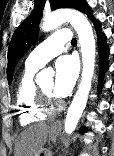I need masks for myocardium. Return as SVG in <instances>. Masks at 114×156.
Instances as JSON below:
<instances>
[{
  "instance_id": "f54148a6",
  "label": "myocardium",
  "mask_w": 114,
  "mask_h": 156,
  "mask_svg": "<svg viewBox=\"0 0 114 156\" xmlns=\"http://www.w3.org/2000/svg\"><path fill=\"white\" fill-rule=\"evenodd\" d=\"M38 104L42 112L45 114H56L62 108V103L54 98L50 93L45 92L41 86L37 87Z\"/></svg>"
}]
</instances>
